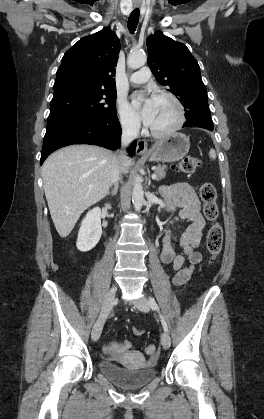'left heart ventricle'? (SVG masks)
<instances>
[{"mask_svg": "<svg viewBox=\"0 0 264 419\" xmlns=\"http://www.w3.org/2000/svg\"><path fill=\"white\" fill-rule=\"evenodd\" d=\"M176 120V108L173 103L165 98H156L154 122L151 128L163 131L171 127Z\"/></svg>", "mask_w": 264, "mask_h": 419, "instance_id": "left-heart-ventricle-1", "label": "left heart ventricle"}]
</instances>
